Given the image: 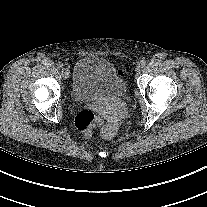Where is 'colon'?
I'll return each mask as SVG.
<instances>
[{"instance_id":"1","label":"colon","mask_w":207,"mask_h":207,"mask_svg":"<svg viewBox=\"0 0 207 207\" xmlns=\"http://www.w3.org/2000/svg\"><path fill=\"white\" fill-rule=\"evenodd\" d=\"M120 72L124 74L126 71L123 69ZM100 124L101 119L88 109L81 110L75 117L76 127L83 131L86 137H91L93 128Z\"/></svg>"}]
</instances>
